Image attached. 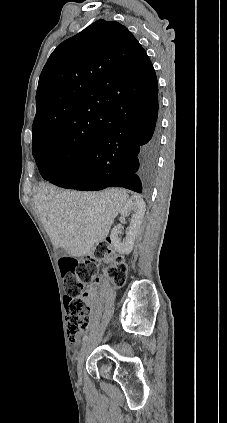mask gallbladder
Masks as SVG:
<instances>
[{
  "label": "gallbladder",
  "mask_w": 227,
  "mask_h": 423,
  "mask_svg": "<svg viewBox=\"0 0 227 423\" xmlns=\"http://www.w3.org/2000/svg\"><path fill=\"white\" fill-rule=\"evenodd\" d=\"M56 253H58V255H66L67 251L63 249V247H59V249H56Z\"/></svg>",
  "instance_id": "bac80fb5"
}]
</instances>
